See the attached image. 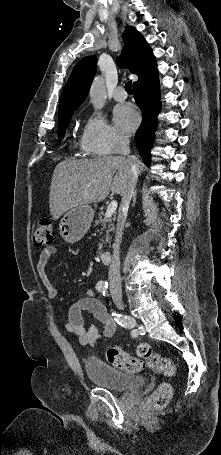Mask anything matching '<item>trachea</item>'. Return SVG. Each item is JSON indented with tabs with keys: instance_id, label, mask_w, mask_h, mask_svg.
<instances>
[{
	"instance_id": "3493384b",
	"label": "trachea",
	"mask_w": 221,
	"mask_h": 455,
	"mask_svg": "<svg viewBox=\"0 0 221 455\" xmlns=\"http://www.w3.org/2000/svg\"><path fill=\"white\" fill-rule=\"evenodd\" d=\"M125 89L127 91V93H133V90H132V81H129L125 84Z\"/></svg>"
}]
</instances>
